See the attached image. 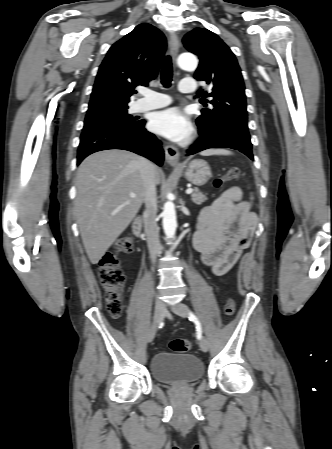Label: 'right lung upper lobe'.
<instances>
[{"label": "right lung upper lobe", "instance_id": "right-lung-upper-lobe-1", "mask_svg": "<svg viewBox=\"0 0 332 449\" xmlns=\"http://www.w3.org/2000/svg\"><path fill=\"white\" fill-rule=\"evenodd\" d=\"M165 51V36L148 23L114 43L99 67L87 112L128 107L135 87L157 76Z\"/></svg>", "mask_w": 332, "mask_h": 449}]
</instances>
